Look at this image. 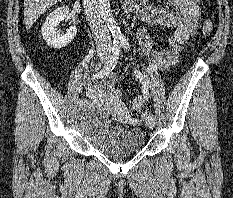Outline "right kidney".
Masks as SVG:
<instances>
[{
  "instance_id": "ca27d5eb",
  "label": "right kidney",
  "mask_w": 233,
  "mask_h": 198,
  "mask_svg": "<svg viewBox=\"0 0 233 198\" xmlns=\"http://www.w3.org/2000/svg\"><path fill=\"white\" fill-rule=\"evenodd\" d=\"M69 8L67 6L59 7L49 14L42 26V37L54 49L66 47L75 37L77 28L71 26L65 35H60L57 25L60 21L68 18Z\"/></svg>"
}]
</instances>
